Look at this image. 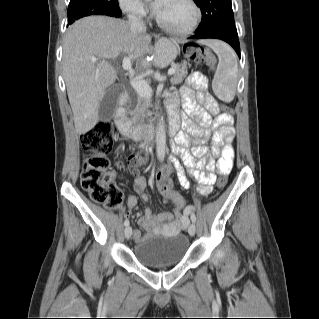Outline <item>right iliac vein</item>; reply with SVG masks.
<instances>
[{"label":"right iliac vein","mask_w":319,"mask_h":319,"mask_svg":"<svg viewBox=\"0 0 319 319\" xmlns=\"http://www.w3.org/2000/svg\"><path fill=\"white\" fill-rule=\"evenodd\" d=\"M124 235H125V238L128 240L131 235H132V227L131 226H127L124 230Z\"/></svg>","instance_id":"63e3f726"}]
</instances>
